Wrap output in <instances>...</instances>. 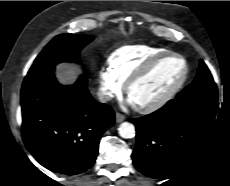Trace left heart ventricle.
I'll return each instance as SVG.
<instances>
[{"instance_id":"obj_1","label":"left heart ventricle","mask_w":230,"mask_h":186,"mask_svg":"<svg viewBox=\"0 0 230 186\" xmlns=\"http://www.w3.org/2000/svg\"><path fill=\"white\" fill-rule=\"evenodd\" d=\"M183 62L176 57H168L159 62L153 70L137 81L128 96L135 105L149 104L159 99L181 77Z\"/></svg>"}]
</instances>
